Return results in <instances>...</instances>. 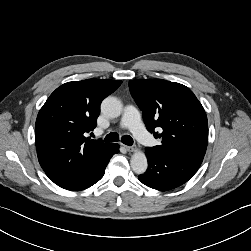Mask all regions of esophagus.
<instances>
[{
    "mask_svg": "<svg viewBox=\"0 0 251 251\" xmlns=\"http://www.w3.org/2000/svg\"><path fill=\"white\" fill-rule=\"evenodd\" d=\"M127 152H134L136 150L135 146H124Z\"/></svg>",
    "mask_w": 251,
    "mask_h": 251,
    "instance_id": "1",
    "label": "esophagus"
}]
</instances>
